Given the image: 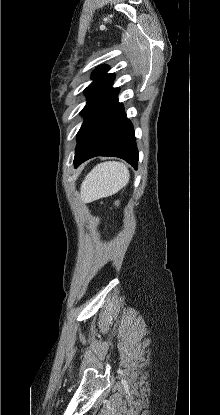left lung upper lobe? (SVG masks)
<instances>
[{
  "label": "left lung upper lobe",
  "instance_id": "5c2ea615",
  "mask_svg": "<svg viewBox=\"0 0 220 415\" xmlns=\"http://www.w3.org/2000/svg\"><path fill=\"white\" fill-rule=\"evenodd\" d=\"M108 69V66L102 65L97 67L96 70L92 73V78L94 81L85 89V94L88 97V102L81 111L82 115L87 112L89 107L94 103L99 95L113 82L115 76L114 74H107Z\"/></svg>",
  "mask_w": 220,
  "mask_h": 415
}]
</instances>
